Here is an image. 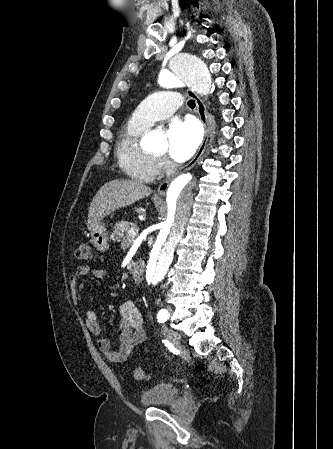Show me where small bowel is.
I'll list each match as a JSON object with an SVG mask.
<instances>
[{"label": "small bowel", "mask_w": 333, "mask_h": 449, "mask_svg": "<svg viewBox=\"0 0 333 449\" xmlns=\"http://www.w3.org/2000/svg\"><path fill=\"white\" fill-rule=\"evenodd\" d=\"M96 279H103L106 275L103 269H91L88 265H81L70 277V291L74 298H78L85 283L82 279L88 274ZM121 321L119 324L120 346L117 350L112 349L110 340L102 336V324L93 310H86L85 321L88 330L98 337L97 345L106 358L113 363L126 361L134 349L146 339V331L140 311L133 301H124L119 306Z\"/></svg>", "instance_id": "c3829d8e"}]
</instances>
